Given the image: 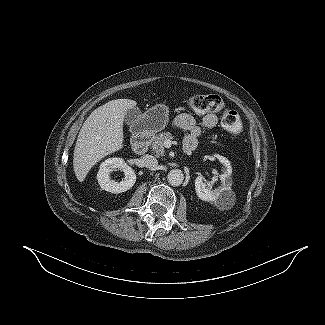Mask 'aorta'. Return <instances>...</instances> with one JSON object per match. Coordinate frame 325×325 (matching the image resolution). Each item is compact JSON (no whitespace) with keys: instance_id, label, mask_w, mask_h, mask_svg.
I'll list each match as a JSON object with an SVG mask.
<instances>
[{"instance_id":"1","label":"aorta","mask_w":325,"mask_h":325,"mask_svg":"<svg viewBox=\"0 0 325 325\" xmlns=\"http://www.w3.org/2000/svg\"><path fill=\"white\" fill-rule=\"evenodd\" d=\"M167 179L172 186H179L184 180V174L179 169H173L168 173Z\"/></svg>"}]
</instances>
